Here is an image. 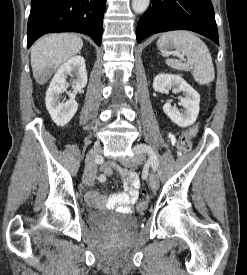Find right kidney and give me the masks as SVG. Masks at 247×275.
I'll return each mask as SVG.
<instances>
[{"mask_svg": "<svg viewBox=\"0 0 247 275\" xmlns=\"http://www.w3.org/2000/svg\"><path fill=\"white\" fill-rule=\"evenodd\" d=\"M73 75L76 77L72 83L73 92L67 93L70 99L60 102V94L67 89L66 78ZM86 84L87 72L83 57L74 56L59 67L50 83L45 98L46 108L52 120L58 126H65L73 118L78 109L75 96Z\"/></svg>", "mask_w": 247, "mask_h": 275, "instance_id": "right-kidney-1", "label": "right kidney"}]
</instances>
